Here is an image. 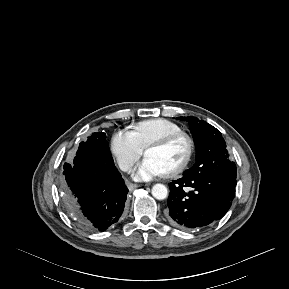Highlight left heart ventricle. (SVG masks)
I'll list each match as a JSON object with an SVG mask.
<instances>
[{
	"label": "left heart ventricle",
	"mask_w": 289,
	"mask_h": 289,
	"mask_svg": "<svg viewBox=\"0 0 289 289\" xmlns=\"http://www.w3.org/2000/svg\"><path fill=\"white\" fill-rule=\"evenodd\" d=\"M185 153L184 141L178 140L164 148L149 149L145 155L156 160L168 172L183 160Z\"/></svg>",
	"instance_id": "left-heart-ventricle-1"
}]
</instances>
